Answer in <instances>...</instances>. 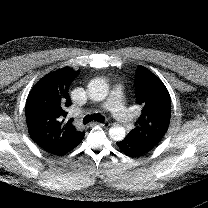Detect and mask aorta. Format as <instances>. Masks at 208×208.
<instances>
[{
  "instance_id": "762f6f07",
  "label": "aorta",
  "mask_w": 208,
  "mask_h": 208,
  "mask_svg": "<svg viewBox=\"0 0 208 208\" xmlns=\"http://www.w3.org/2000/svg\"><path fill=\"white\" fill-rule=\"evenodd\" d=\"M108 84L101 78L93 79L88 85V93L92 100L102 101L108 95ZM125 128L122 126H113L109 130L110 137L115 141L123 140L125 137Z\"/></svg>"
}]
</instances>
